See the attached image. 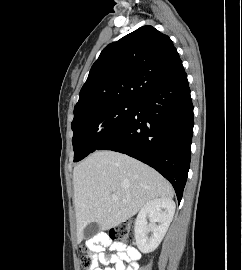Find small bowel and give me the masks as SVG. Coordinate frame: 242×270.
<instances>
[{"mask_svg": "<svg viewBox=\"0 0 242 270\" xmlns=\"http://www.w3.org/2000/svg\"><path fill=\"white\" fill-rule=\"evenodd\" d=\"M114 250V254L102 253L105 247ZM89 250L97 255L92 260L90 270H138L140 252L132 246L113 242L104 234L95 236L88 244ZM104 266V267H103Z\"/></svg>", "mask_w": 242, "mask_h": 270, "instance_id": "c3829d8e", "label": "small bowel"}]
</instances>
